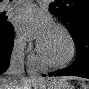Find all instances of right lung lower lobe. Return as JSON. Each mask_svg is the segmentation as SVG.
<instances>
[{
    "mask_svg": "<svg viewBox=\"0 0 89 89\" xmlns=\"http://www.w3.org/2000/svg\"><path fill=\"white\" fill-rule=\"evenodd\" d=\"M13 43L14 28L10 23L5 28L0 29V74L9 67Z\"/></svg>",
    "mask_w": 89,
    "mask_h": 89,
    "instance_id": "98d812e1",
    "label": "right lung lower lobe"
}]
</instances>
